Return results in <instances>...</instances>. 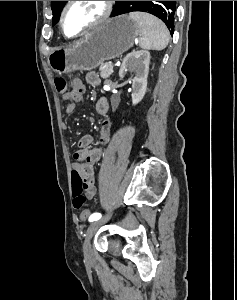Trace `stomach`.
Listing matches in <instances>:
<instances>
[{"label": "stomach", "mask_w": 237, "mask_h": 300, "mask_svg": "<svg viewBox=\"0 0 237 300\" xmlns=\"http://www.w3.org/2000/svg\"><path fill=\"white\" fill-rule=\"evenodd\" d=\"M138 35L139 27L128 15L107 19L83 39L74 41L68 49H53L48 55V65L59 75L72 71H92L103 61L115 59L128 51Z\"/></svg>", "instance_id": "obj_1"}]
</instances>
